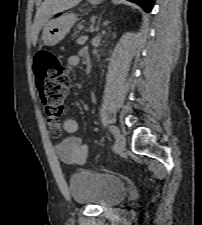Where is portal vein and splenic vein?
I'll use <instances>...</instances> for the list:
<instances>
[{
  "instance_id": "portal-vein-and-splenic-vein-1",
  "label": "portal vein and splenic vein",
  "mask_w": 202,
  "mask_h": 225,
  "mask_svg": "<svg viewBox=\"0 0 202 225\" xmlns=\"http://www.w3.org/2000/svg\"><path fill=\"white\" fill-rule=\"evenodd\" d=\"M87 36H83V37H80L78 40H77V42L78 43H82V42H84L85 40H87Z\"/></svg>"
}]
</instances>
